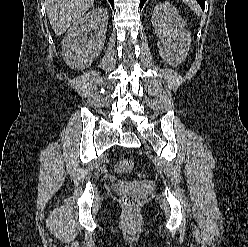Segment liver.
<instances>
[{
    "instance_id": "1",
    "label": "liver",
    "mask_w": 248,
    "mask_h": 247,
    "mask_svg": "<svg viewBox=\"0 0 248 247\" xmlns=\"http://www.w3.org/2000/svg\"><path fill=\"white\" fill-rule=\"evenodd\" d=\"M94 0H46V12L56 35L63 34L93 5Z\"/></svg>"
}]
</instances>
